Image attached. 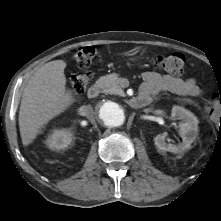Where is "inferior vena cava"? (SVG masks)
Segmentation results:
<instances>
[{
	"label": "inferior vena cava",
	"mask_w": 221,
	"mask_h": 221,
	"mask_svg": "<svg viewBox=\"0 0 221 221\" xmlns=\"http://www.w3.org/2000/svg\"><path fill=\"white\" fill-rule=\"evenodd\" d=\"M85 116L91 121H95L94 110L91 105L86 106L85 108Z\"/></svg>",
	"instance_id": "obj_1"
}]
</instances>
